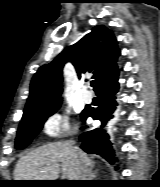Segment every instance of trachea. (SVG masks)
Wrapping results in <instances>:
<instances>
[{
    "instance_id": "3493384b",
    "label": "trachea",
    "mask_w": 160,
    "mask_h": 187,
    "mask_svg": "<svg viewBox=\"0 0 160 187\" xmlns=\"http://www.w3.org/2000/svg\"><path fill=\"white\" fill-rule=\"evenodd\" d=\"M93 85H94V82L92 81V82H91V86H93Z\"/></svg>"
}]
</instances>
